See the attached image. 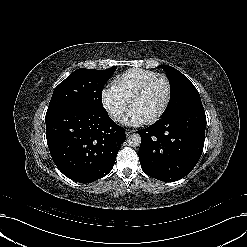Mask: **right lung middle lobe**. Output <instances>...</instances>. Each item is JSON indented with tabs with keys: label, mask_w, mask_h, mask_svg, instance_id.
<instances>
[{
	"label": "right lung middle lobe",
	"mask_w": 247,
	"mask_h": 247,
	"mask_svg": "<svg viewBox=\"0 0 247 247\" xmlns=\"http://www.w3.org/2000/svg\"><path fill=\"white\" fill-rule=\"evenodd\" d=\"M115 70H75L55 88L47 112L61 107H103L102 90Z\"/></svg>",
	"instance_id": "right-lung-middle-lobe-1"
}]
</instances>
